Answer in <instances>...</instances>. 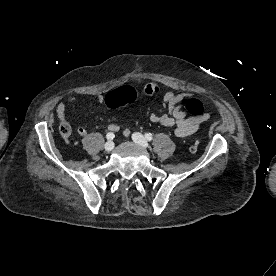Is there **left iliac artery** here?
Listing matches in <instances>:
<instances>
[{"mask_svg": "<svg viewBox=\"0 0 276 276\" xmlns=\"http://www.w3.org/2000/svg\"><path fill=\"white\" fill-rule=\"evenodd\" d=\"M145 138L148 140V141H151L152 140V134L151 133H146L145 134Z\"/></svg>", "mask_w": 276, "mask_h": 276, "instance_id": "44dca946", "label": "left iliac artery"}]
</instances>
